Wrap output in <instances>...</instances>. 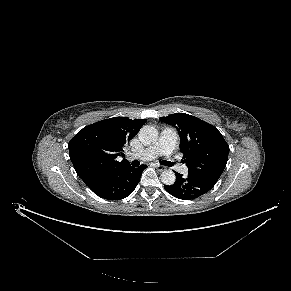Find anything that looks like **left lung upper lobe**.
Listing matches in <instances>:
<instances>
[{
    "instance_id": "5c2ea615",
    "label": "left lung upper lobe",
    "mask_w": 291,
    "mask_h": 291,
    "mask_svg": "<svg viewBox=\"0 0 291 291\" xmlns=\"http://www.w3.org/2000/svg\"><path fill=\"white\" fill-rule=\"evenodd\" d=\"M180 136V151L190 174L221 175L227 163L229 146L213 125L185 113L161 117Z\"/></svg>"
}]
</instances>
